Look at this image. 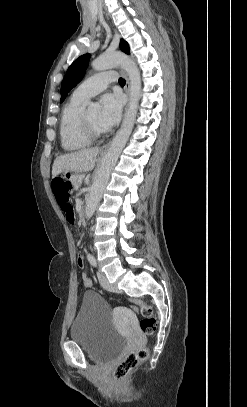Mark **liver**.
I'll return each mask as SVG.
<instances>
[{"label": "liver", "mask_w": 247, "mask_h": 407, "mask_svg": "<svg viewBox=\"0 0 247 407\" xmlns=\"http://www.w3.org/2000/svg\"><path fill=\"white\" fill-rule=\"evenodd\" d=\"M99 148L83 149L57 157L52 167V177L55 178L61 172H88L95 166Z\"/></svg>", "instance_id": "1"}]
</instances>
